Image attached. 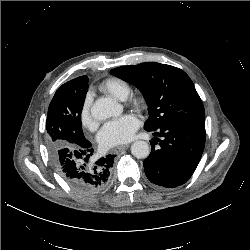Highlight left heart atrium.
<instances>
[{
  "label": "left heart atrium",
  "mask_w": 250,
  "mask_h": 250,
  "mask_svg": "<svg viewBox=\"0 0 250 250\" xmlns=\"http://www.w3.org/2000/svg\"><path fill=\"white\" fill-rule=\"evenodd\" d=\"M138 126L139 121L135 115L124 114L104 124L98 134V142L104 149L127 143L133 138Z\"/></svg>",
  "instance_id": "1"
}]
</instances>
